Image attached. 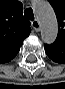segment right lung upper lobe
<instances>
[{
    "instance_id": "obj_1",
    "label": "right lung upper lobe",
    "mask_w": 65,
    "mask_h": 89,
    "mask_svg": "<svg viewBox=\"0 0 65 89\" xmlns=\"http://www.w3.org/2000/svg\"><path fill=\"white\" fill-rule=\"evenodd\" d=\"M30 34V22L23 16L18 0H0V59L8 60L19 52Z\"/></svg>"
}]
</instances>
